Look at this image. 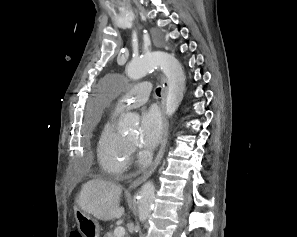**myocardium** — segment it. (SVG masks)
<instances>
[{
  "label": "myocardium",
  "mask_w": 297,
  "mask_h": 237,
  "mask_svg": "<svg viewBox=\"0 0 297 237\" xmlns=\"http://www.w3.org/2000/svg\"><path fill=\"white\" fill-rule=\"evenodd\" d=\"M126 141L128 142V144H129L130 146L134 145V142H131V141L127 140V139H126Z\"/></svg>",
  "instance_id": "1"
}]
</instances>
